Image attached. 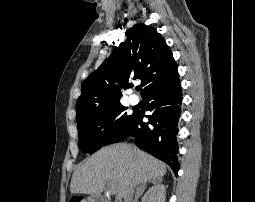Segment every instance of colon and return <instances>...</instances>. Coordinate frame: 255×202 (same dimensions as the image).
<instances>
[{"instance_id":"1","label":"colon","mask_w":255,"mask_h":202,"mask_svg":"<svg viewBox=\"0 0 255 202\" xmlns=\"http://www.w3.org/2000/svg\"><path fill=\"white\" fill-rule=\"evenodd\" d=\"M73 202H81L80 200H76V201H73Z\"/></svg>"}]
</instances>
